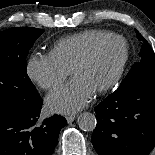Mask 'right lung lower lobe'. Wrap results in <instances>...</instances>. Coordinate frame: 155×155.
<instances>
[{
	"label": "right lung lower lobe",
	"mask_w": 155,
	"mask_h": 155,
	"mask_svg": "<svg viewBox=\"0 0 155 155\" xmlns=\"http://www.w3.org/2000/svg\"><path fill=\"white\" fill-rule=\"evenodd\" d=\"M42 98L29 109L0 108V155H51L67 121L60 115L38 126Z\"/></svg>",
	"instance_id": "right-lung-lower-lobe-1"
}]
</instances>
